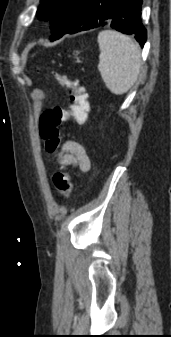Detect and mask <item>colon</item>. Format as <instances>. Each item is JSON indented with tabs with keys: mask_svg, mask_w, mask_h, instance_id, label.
I'll return each mask as SVG.
<instances>
[{
	"mask_svg": "<svg viewBox=\"0 0 171 337\" xmlns=\"http://www.w3.org/2000/svg\"><path fill=\"white\" fill-rule=\"evenodd\" d=\"M52 77L59 87L67 90L70 101L69 107L56 106L46 109L39 118L40 138L44 142L46 151L56 157L62 142L60 127L68 122L84 123L89 103L86 88L80 82L59 73H52ZM53 184L62 197L68 198L70 196L72 181L66 166L61 165L60 170L54 174Z\"/></svg>",
	"mask_w": 171,
	"mask_h": 337,
	"instance_id": "1",
	"label": "colon"
}]
</instances>
